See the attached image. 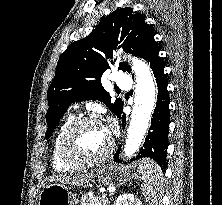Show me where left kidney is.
<instances>
[{
	"mask_svg": "<svg viewBox=\"0 0 222 205\" xmlns=\"http://www.w3.org/2000/svg\"><path fill=\"white\" fill-rule=\"evenodd\" d=\"M114 205H142V203L133 194H123L117 198Z\"/></svg>",
	"mask_w": 222,
	"mask_h": 205,
	"instance_id": "obj_1",
	"label": "left kidney"
}]
</instances>
